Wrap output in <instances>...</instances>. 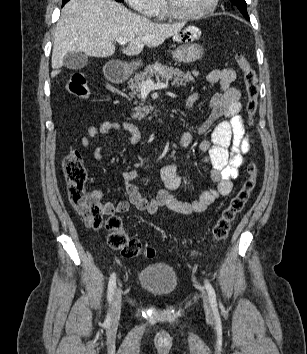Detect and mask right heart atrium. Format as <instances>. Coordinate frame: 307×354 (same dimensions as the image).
<instances>
[{"mask_svg":"<svg viewBox=\"0 0 307 354\" xmlns=\"http://www.w3.org/2000/svg\"><path fill=\"white\" fill-rule=\"evenodd\" d=\"M135 11L151 17L154 16L160 5V0H125Z\"/></svg>","mask_w":307,"mask_h":354,"instance_id":"d8ad5b80","label":"right heart atrium"}]
</instances>
